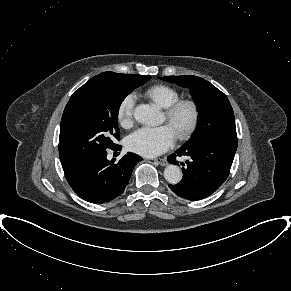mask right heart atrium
Here are the masks:
<instances>
[{"label": "right heart atrium", "mask_w": 291, "mask_h": 291, "mask_svg": "<svg viewBox=\"0 0 291 291\" xmlns=\"http://www.w3.org/2000/svg\"><path fill=\"white\" fill-rule=\"evenodd\" d=\"M135 108L134 94L126 95L118 105L117 120L121 127L129 128L133 124Z\"/></svg>", "instance_id": "d8ad5b80"}]
</instances>
